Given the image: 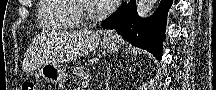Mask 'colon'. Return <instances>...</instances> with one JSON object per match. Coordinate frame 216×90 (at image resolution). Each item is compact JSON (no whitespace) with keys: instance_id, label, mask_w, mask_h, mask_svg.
I'll use <instances>...</instances> for the list:
<instances>
[{"instance_id":"obj_1","label":"colon","mask_w":216,"mask_h":90,"mask_svg":"<svg viewBox=\"0 0 216 90\" xmlns=\"http://www.w3.org/2000/svg\"><path fill=\"white\" fill-rule=\"evenodd\" d=\"M22 90H36V87L32 83H24L22 85Z\"/></svg>"}]
</instances>
